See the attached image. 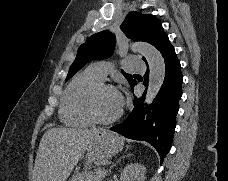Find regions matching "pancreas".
<instances>
[{"label": "pancreas", "mask_w": 228, "mask_h": 181, "mask_svg": "<svg viewBox=\"0 0 228 181\" xmlns=\"http://www.w3.org/2000/svg\"><path fill=\"white\" fill-rule=\"evenodd\" d=\"M103 175L100 171H83V173H78L73 177V181H101Z\"/></svg>", "instance_id": "pancreas-1"}]
</instances>
